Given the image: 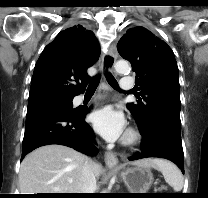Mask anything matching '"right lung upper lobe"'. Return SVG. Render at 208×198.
I'll use <instances>...</instances> for the list:
<instances>
[{"label":"right lung upper lobe","mask_w":208,"mask_h":198,"mask_svg":"<svg viewBox=\"0 0 208 198\" xmlns=\"http://www.w3.org/2000/svg\"><path fill=\"white\" fill-rule=\"evenodd\" d=\"M99 56L100 48L91 30L78 25L61 31L35 65L28 107L81 94L89 79L87 69Z\"/></svg>","instance_id":"right-lung-upper-lobe-1"}]
</instances>
